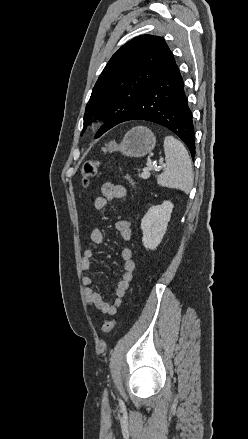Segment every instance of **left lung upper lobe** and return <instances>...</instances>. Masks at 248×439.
Masks as SVG:
<instances>
[{"mask_svg": "<svg viewBox=\"0 0 248 439\" xmlns=\"http://www.w3.org/2000/svg\"><path fill=\"white\" fill-rule=\"evenodd\" d=\"M173 54L162 37L141 35L123 45L99 76L84 114V125L91 117L104 118L106 124L96 138L116 126L135 107Z\"/></svg>", "mask_w": 248, "mask_h": 439, "instance_id": "1", "label": "left lung upper lobe"}]
</instances>
